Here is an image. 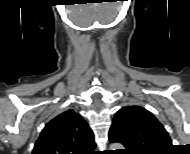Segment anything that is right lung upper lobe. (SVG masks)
Listing matches in <instances>:
<instances>
[{"instance_id": "1", "label": "right lung upper lobe", "mask_w": 190, "mask_h": 154, "mask_svg": "<svg viewBox=\"0 0 190 154\" xmlns=\"http://www.w3.org/2000/svg\"><path fill=\"white\" fill-rule=\"evenodd\" d=\"M94 134L86 121L69 109L46 124L32 154H91Z\"/></svg>"}]
</instances>
